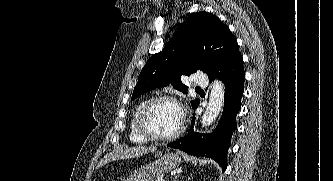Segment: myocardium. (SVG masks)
<instances>
[{
  "instance_id": "obj_1",
  "label": "myocardium",
  "mask_w": 333,
  "mask_h": 181,
  "mask_svg": "<svg viewBox=\"0 0 333 181\" xmlns=\"http://www.w3.org/2000/svg\"><path fill=\"white\" fill-rule=\"evenodd\" d=\"M163 101H168V102H172L174 104H176L177 106L180 107L182 113H183V107L180 103V101L171 95H159V96H155L150 98L149 100H147L144 105L142 106L139 115H138V119H137V127L139 132L148 140H152V141H169V140H173L177 137H179L183 131H184V121H183V117H182V122L180 127L174 131L171 134H167V135H158L156 133H154L148 126L147 124V116L150 112V110L152 109V107L154 105H156L159 102H163Z\"/></svg>"
}]
</instances>
